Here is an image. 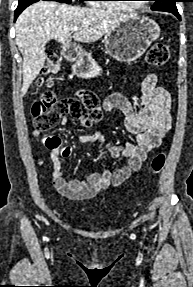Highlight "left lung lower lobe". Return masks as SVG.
Listing matches in <instances>:
<instances>
[{"label": "left lung lower lobe", "mask_w": 193, "mask_h": 287, "mask_svg": "<svg viewBox=\"0 0 193 287\" xmlns=\"http://www.w3.org/2000/svg\"><path fill=\"white\" fill-rule=\"evenodd\" d=\"M167 12H171L172 14H174L179 20L181 19L180 17V14L178 13V10H170V11H167Z\"/></svg>", "instance_id": "left-lung-lower-lobe-1"}]
</instances>
